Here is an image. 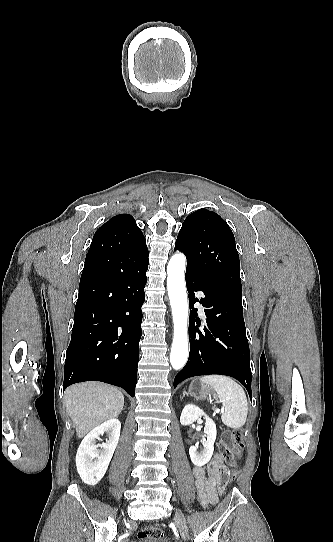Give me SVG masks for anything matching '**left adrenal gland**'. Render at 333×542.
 Instances as JSON below:
<instances>
[{"label":"left adrenal gland","instance_id":"left-adrenal-gland-1","mask_svg":"<svg viewBox=\"0 0 333 542\" xmlns=\"http://www.w3.org/2000/svg\"><path fill=\"white\" fill-rule=\"evenodd\" d=\"M183 396H188L187 392H183Z\"/></svg>","mask_w":333,"mask_h":542}]
</instances>
